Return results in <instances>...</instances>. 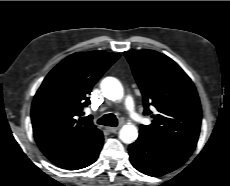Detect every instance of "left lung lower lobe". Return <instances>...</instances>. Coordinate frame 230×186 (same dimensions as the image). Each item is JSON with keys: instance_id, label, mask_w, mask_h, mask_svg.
Here are the masks:
<instances>
[{"instance_id": "obj_1", "label": "left lung lower lobe", "mask_w": 230, "mask_h": 186, "mask_svg": "<svg viewBox=\"0 0 230 186\" xmlns=\"http://www.w3.org/2000/svg\"><path fill=\"white\" fill-rule=\"evenodd\" d=\"M194 148L167 144L150 136L139 135L130 144L131 164L140 172L157 177L180 167L191 155Z\"/></svg>"}]
</instances>
